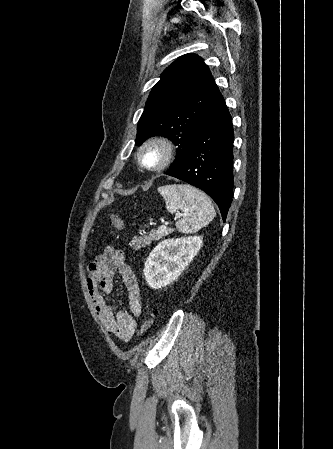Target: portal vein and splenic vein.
<instances>
[{
	"label": "portal vein and splenic vein",
	"instance_id": "obj_1",
	"mask_svg": "<svg viewBox=\"0 0 333 449\" xmlns=\"http://www.w3.org/2000/svg\"><path fill=\"white\" fill-rule=\"evenodd\" d=\"M178 217H179V215H176V216L174 217V220H176ZM165 225H168V222H165Z\"/></svg>",
	"mask_w": 333,
	"mask_h": 449
}]
</instances>
